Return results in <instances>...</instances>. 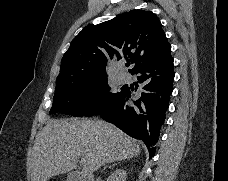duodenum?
I'll list each match as a JSON object with an SVG mask.
<instances>
[{
    "label": "duodenum",
    "instance_id": "obj_1",
    "mask_svg": "<svg viewBox=\"0 0 228 181\" xmlns=\"http://www.w3.org/2000/svg\"><path fill=\"white\" fill-rule=\"evenodd\" d=\"M69 176L73 177L72 181H81V179H84V174H76L75 172H70Z\"/></svg>",
    "mask_w": 228,
    "mask_h": 181
}]
</instances>
